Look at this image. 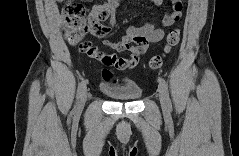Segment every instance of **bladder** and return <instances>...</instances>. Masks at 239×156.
<instances>
[{
  "label": "bladder",
  "mask_w": 239,
  "mask_h": 156,
  "mask_svg": "<svg viewBox=\"0 0 239 156\" xmlns=\"http://www.w3.org/2000/svg\"><path fill=\"white\" fill-rule=\"evenodd\" d=\"M103 92L111 99L118 101H136L143 94V90L138 86L125 89L103 88Z\"/></svg>",
  "instance_id": "31cf9c89"
}]
</instances>
